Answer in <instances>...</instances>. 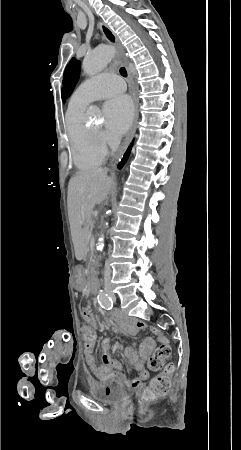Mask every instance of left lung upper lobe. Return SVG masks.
Returning <instances> with one entry per match:
<instances>
[{
  "instance_id": "obj_1",
  "label": "left lung upper lobe",
  "mask_w": 241,
  "mask_h": 450,
  "mask_svg": "<svg viewBox=\"0 0 241 450\" xmlns=\"http://www.w3.org/2000/svg\"><path fill=\"white\" fill-rule=\"evenodd\" d=\"M80 76V61L72 58L64 71L62 100L65 101L73 92V89L79 80Z\"/></svg>"
}]
</instances>
